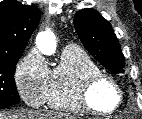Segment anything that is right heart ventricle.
Returning a JSON list of instances; mask_svg holds the SVG:
<instances>
[{
  "label": "right heart ventricle",
  "instance_id": "e07e8e85",
  "mask_svg": "<svg viewBox=\"0 0 142 119\" xmlns=\"http://www.w3.org/2000/svg\"><path fill=\"white\" fill-rule=\"evenodd\" d=\"M100 72L97 64L81 48L66 47L47 79L44 103L55 110L81 114L84 110L75 99L78 83L87 75Z\"/></svg>",
  "mask_w": 142,
  "mask_h": 119
}]
</instances>
